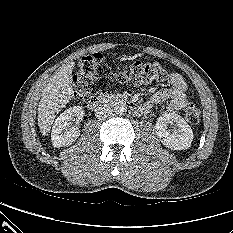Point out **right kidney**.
<instances>
[{"label":"right kidney","mask_w":233,"mask_h":233,"mask_svg":"<svg viewBox=\"0 0 233 233\" xmlns=\"http://www.w3.org/2000/svg\"><path fill=\"white\" fill-rule=\"evenodd\" d=\"M84 116L82 106H74L65 110L56 119L51 132V140L54 147L71 145L80 135L78 124ZM73 123H75L73 125Z\"/></svg>","instance_id":"ca27d5eb"}]
</instances>
